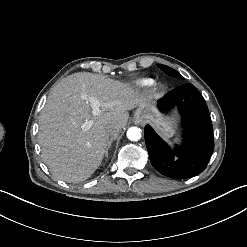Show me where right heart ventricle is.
<instances>
[{"label": "right heart ventricle", "instance_id": "right-heart-ventricle-1", "mask_svg": "<svg viewBox=\"0 0 247 247\" xmlns=\"http://www.w3.org/2000/svg\"><path fill=\"white\" fill-rule=\"evenodd\" d=\"M154 84L153 79H141L137 81V85L142 86V87H150Z\"/></svg>", "mask_w": 247, "mask_h": 247}]
</instances>
